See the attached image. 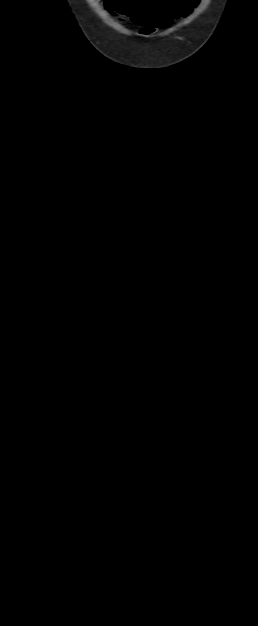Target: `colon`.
Instances as JSON below:
<instances>
[{"instance_id":"colon-1","label":"colon","mask_w":258,"mask_h":626,"mask_svg":"<svg viewBox=\"0 0 258 626\" xmlns=\"http://www.w3.org/2000/svg\"><path fill=\"white\" fill-rule=\"evenodd\" d=\"M117 7H118V9H119V10H121V9H122V8H121V7H119V6H117ZM150 22H151V21H150ZM152 22H153V23H152V24L150 23V25H155V24H156V25H161V24L163 23L162 21L157 20V19H154ZM145 24H147V23H145Z\"/></svg>"}]
</instances>
